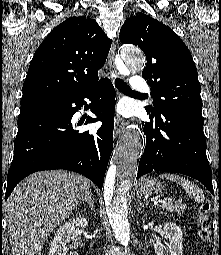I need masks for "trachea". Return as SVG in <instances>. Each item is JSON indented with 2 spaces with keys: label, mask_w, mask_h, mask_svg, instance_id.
<instances>
[{
  "label": "trachea",
  "mask_w": 221,
  "mask_h": 255,
  "mask_svg": "<svg viewBox=\"0 0 221 255\" xmlns=\"http://www.w3.org/2000/svg\"><path fill=\"white\" fill-rule=\"evenodd\" d=\"M115 86L119 91H122L124 93L134 94V95H140L136 92H134L123 80L120 78L115 79Z\"/></svg>",
  "instance_id": "trachea-1"
}]
</instances>
